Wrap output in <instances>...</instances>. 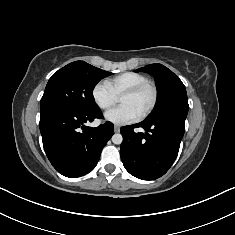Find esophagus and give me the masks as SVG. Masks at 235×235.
I'll return each instance as SVG.
<instances>
[{
	"mask_svg": "<svg viewBox=\"0 0 235 235\" xmlns=\"http://www.w3.org/2000/svg\"><path fill=\"white\" fill-rule=\"evenodd\" d=\"M114 131H115L116 133L119 132V131H120V126L115 125V126H114Z\"/></svg>",
	"mask_w": 235,
	"mask_h": 235,
	"instance_id": "1",
	"label": "esophagus"
}]
</instances>
